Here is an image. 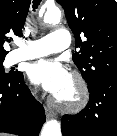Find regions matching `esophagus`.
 Segmentation results:
<instances>
[{"label":"esophagus","mask_w":117,"mask_h":136,"mask_svg":"<svg viewBox=\"0 0 117 136\" xmlns=\"http://www.w3.org/2000/svg\"><path fill=\"white\" fill-rule=\"evenodd\" d=\"M45 113L47 118H52L55 116V113L48 107H45Z\"/></svg>","instance_id":"obj_1"}]
</instances>
